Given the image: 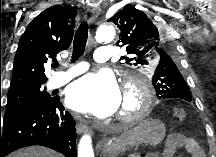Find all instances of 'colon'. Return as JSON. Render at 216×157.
Wrapping results in <instances>:
<instances>
[{
    "label": "colon",
    "mask_w": 216,
    "mask_h": 157,
    "mask_svg": "<svg viewBox=\"0 0 216 157\" xmlns=\"http://www.w3.org/2000/svg\"><path fill=\"white\" fill-rule=\"evenodd\" d=\"M174 118L177 121H184L186 118V111L183 108H176L174 110Z\"/></svg>",
    "instance_id": "colon-1"
}]
</instances>
